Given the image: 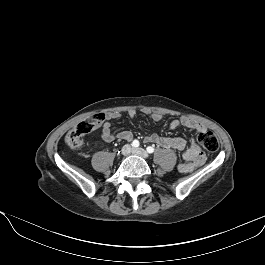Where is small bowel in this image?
Wrapping results in <instances>:
<instances>
[{"instance_id": "obj_1", "label": "small bowel", "mask_w": 265, "mask_h": 265, "mask_svg": "<svg viewBox=\"0 0 265 265\" xmlns=\"http://www.w3.org/2000/svg\"><path fill=\"white\" fill-rule=\"evenodd\" d=\"M142 112L146 114L154 123H157L162 119L161 114L149 109H143ZM128 116L130 118H134L136 116V111L134 109L129 110ZM106 117L108 120L117 119L120 117V114L118 112H111L108 113ZM169 127L172 130L178 128L192 129L198 133L206 131V126L203 123L189 117H182L179 120H173ZM101 136L106 142H112L114 139L126 141H131L133 139V134L130 131H121L114 135L111 131V125L109 122H105L103 124ZM145 140L163 148L182 152V158L184 162L178 164V170L180 172H192L205 161V154L196 138H191L188 146L186 140L181 137L161 136L156 133L146 136Z\"/></svg>"}]
</instances>
